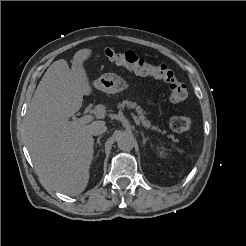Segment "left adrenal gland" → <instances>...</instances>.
<instances>
[{
	"mask_svg": "<svg viewBox=\"0 0 246 246\" xmlns=\"http://www.w3.org/2000/svg\"><path fill=\"white\" fill-rule=\"evenodd\" d=\"M142 138H143V145L145 146L146 142H147V138L144 136V133L141 132Z\"/></svg>",
	"mask_w": 246,
	"mask_h": 246,
	"instance_id": "left-adrenal-gland-1",
	"label": "left adrenal gland"
}]
</instances>
